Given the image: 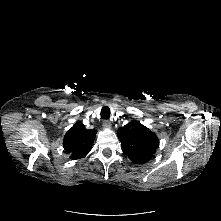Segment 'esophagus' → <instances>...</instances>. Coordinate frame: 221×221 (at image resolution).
Returning a JSON list of instances; mask_svg holds the SVG:
<instances>
[{"label": "esophagus", "mask_w": 221, "mask_h": 221, "mask_svg": "<svg viewBox=\"0 0 221 221\" xmlns=\"http://www.w3.org/2000/svg\"><path fill=\"white\" fill-rule=\"evenodd\" d=\"M103 128H105V129L111 128V122L108 121V120H105V121L103 122Z\"/></svg>", "instance_id": "1"}]
</instances>
